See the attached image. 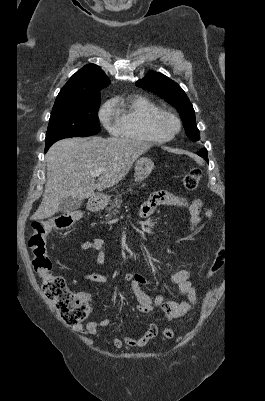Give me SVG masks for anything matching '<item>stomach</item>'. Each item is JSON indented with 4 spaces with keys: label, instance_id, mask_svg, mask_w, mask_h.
Instances as JSON below:
<instances>
[{
    "label": "stomach",
    "instance_id": "1",
    "mask_svg": "<svg viewBox=\"0 0 265 401\" xmlns=\"http://www.w3.org/2000/svg\"><path fill=\"white\" fill-rule=\"evenodd\" d=\"M154 168V162L148 156H141L135 162V172H134V180L135 182H142L144 178L149 176L150 172H152ZM109 201V196H105L104 201H102L103 205H107Z\"/></svg>",
    "mask_w": 265,
    "mask_h": 401
}]
</instances>
